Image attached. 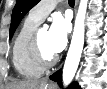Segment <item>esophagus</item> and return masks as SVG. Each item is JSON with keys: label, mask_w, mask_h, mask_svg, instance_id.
I'll list each match as a JSON object with an SVG mask.
<instances>
[{"label": "esophagus", "mask_w": 107, "mask_h": 89, "mask_svg": "<svg viewBox=\"0 0 107 89\" xmlns=\"http://www.w3.org/2000/svg\"><path fill=\"white\" fill-rule=\"evenodd\" d=\"M77 4H78V0H76V4H75V13H76V10H77Z\"/></svg>", "instance_id": "1"}]
</instances>
